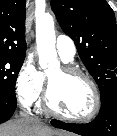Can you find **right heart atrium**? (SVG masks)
<instances>
[{"label":"right heart atrium","mask_w":117,"mask_h":136,"mask_svg":"<svg viewBox=\"0 0 117 136\" xmlns=\"http://www.w3.org/2000/svg\"><path fill=\"white\" fill-rule=\"evenodd\" d=\"M45 87V76L36 66L25 62L16 78L15 92L18 101L26 108L37 105Z\"/></svg>","instance_id":"d8ad5b80"}]
</instances>
